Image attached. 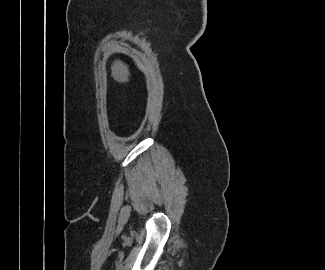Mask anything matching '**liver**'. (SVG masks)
Listing matches in <instances>:
<instances>
[{"label": "liver", "mask_w": 325, "mask_h": 270, "mask_svg": "<svg viewBox=\"0 0 325 270\" xmlns=\"http://www.w3.org/2000/svg\"><path fill=\"white\" fill-rule=\"evenodd\" d=\"M111 71V75L115 81L120 83H125L129 81V68L124 62L120 60L114 61L111 66Z\"/></svg>", "instance_id": "6515ba94"}]
</instances>
